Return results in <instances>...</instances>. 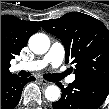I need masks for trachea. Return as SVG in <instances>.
I'll use <instances>...</instances> for the list:
<instances>
[{
	"instance_id": "1",
	"label": "trachea",
	"mask_w": 109,
	"mask_h": 109,
	"mask_svg": "<svg viewBox=\"0 0 109 109\" xmlns=\"http://www.w3.org/2000/svg\"><path fill=\"white\" fill-rule=\"evenodd\" d=\"M19 76L21 77H29L30 76V72H26V71H20ZM59 74H44L43 77L45 80L50 81V82H56L59 81L60 78L58 77Z\"/></svg>"
}]
</instances>
